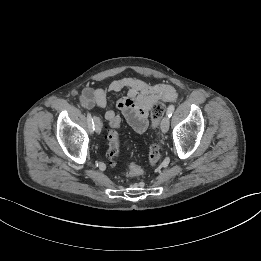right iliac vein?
<instances>
[{
    "label": "right iliac vein",
    "mask_w": 261,
    "mask_h": 261,
    "mask_svg": "<svg viewBox=\"0 0 261 261\" xmlns=\"http://www.w3.org/2000/svg\"><path fill=\"white\" fill-rule=\"evenodd\" d=\"M94 126L97 133L101 132L102 123L98 117H94Z\"/></svg>",
    "instance_id": "right-iliac-vein-1"
}]
</instances>
